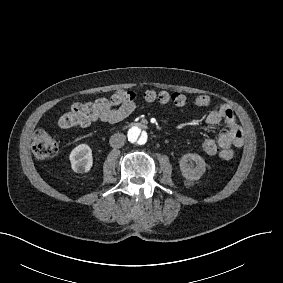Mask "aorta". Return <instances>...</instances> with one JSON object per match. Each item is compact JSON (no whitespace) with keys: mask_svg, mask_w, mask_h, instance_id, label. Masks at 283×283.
<instances>
[{"mask_svg":"<svg viewBox=\"0 0 283 283\" xmlns=\"http://www.w3.org/2000/svg\"><path fill=\"white\" fill-rule=\"evenodd\" d=\"M128 140L136 145H144L148 141V133L139 126H132L127 132Z\"/></svg>","mask_w":283,"mask_h":283,"instance_id":"aorta-1","label":"aorta"}]
</instances>
